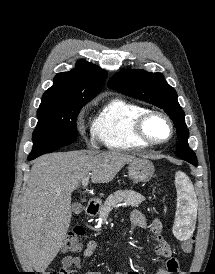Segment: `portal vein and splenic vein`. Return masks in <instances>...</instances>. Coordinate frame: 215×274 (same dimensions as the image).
Returning <instances> with one entry per match:
<instances>
[{
	"label": "portal vein and splenic vein",
	"mask_w": 215,
	"mask_h": 274,
	"mask_svg": "<svg viewBox=\"0 0 215 274\" xmlns=\"http://www.w3.org/2000/svg\"><path fill=\"white\" fill-rule=\"evenodd\" d=\"M89 183V176L85 177L83 180H82V187L85 188L87 187Z\"/></svg>",
	"instance_id": "1"
}]
</instances>
